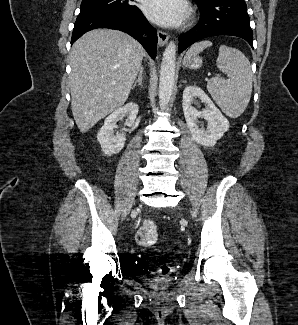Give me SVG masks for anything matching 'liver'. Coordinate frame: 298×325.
<instances>
[{"instance_id":"obj_1","label":"liver","mask_w":298,"mask_h":325,"mask_svg":"<svg viewBox=\"0 0 298 325\" xmlns=\"http://www.w3.org/2000/svg\"><path fill=\"white\" fill-rule=\"evenodd\" d=\"M69 56L72 114L87 132L126 102L145 50L126 32L96 28L74 42Z\"/></svg>"}]
</instances>
